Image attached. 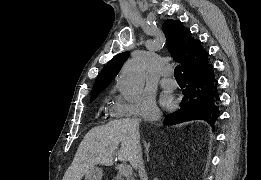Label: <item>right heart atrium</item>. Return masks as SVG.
<instances>
[{
    "instance_id": "obj_1",
    "label": "right heart atrium",
    "mask_w": 261,
    "mask_h": 180,
    "mask_svg": "<svg viewBox=\"0 0 261 180\" xmlns=\"http://www.w3.org/2000/svg\"><path fill=\"white\" fill-rule=\"evenodd\" d=\"M138 103L128 105L120 111H113L112 117H148L151 114H156L159 112L156 106L154 96L150 93L145 94V98H141ZM110 120L108 122H110Z\"/></svg>"
}]
</instances>
